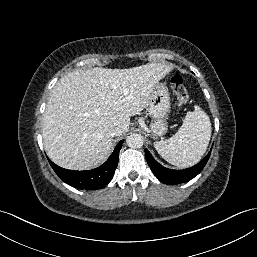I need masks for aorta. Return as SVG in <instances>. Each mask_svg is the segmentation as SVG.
<instances>
[{
	"label": "aorta",
	"mask_w": 257,
	"mask_h": 257,
	"mask_svg": "<svg viewBox=\"0 0 257 257\" xmlns=\"http://www.w3.org/2000/svg\"><path fill=\"white\" fill-rule=\"evenodd\" d=\"M126 142L130 148H140L143 146L144 139L140 134H132L128 136Z\"/></svg>",
	"instance_id": "obj_1"
}]
</instances>
